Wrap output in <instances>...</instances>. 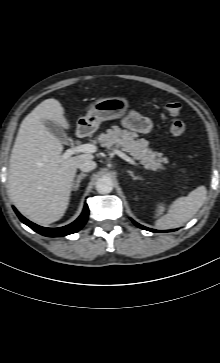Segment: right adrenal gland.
Returning <instances> with one entry per match:
<instances>
[{"label":"right adrenal gland","instance_id":"obj_1","mask_svg":"<svg viewBox=\"0 0 220 363\" xmlns=\"http://www.w3.org/2000/svg\"><path fill=\"white\" fill-rule=\"evenodd\" d=\"M84 177H87V174H84V173H81L77 176V178L75 179L74 183H73V190H78L79 187H80V183H81V180L84 178Z\"/></svg>","mask_w":220,"mask_h":363}]
</instances>
